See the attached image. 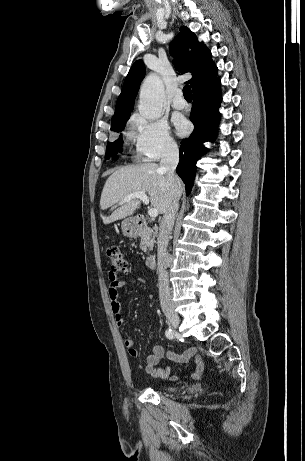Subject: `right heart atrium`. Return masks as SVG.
<instances>
[{"mask_svg":"<svg viewBox=\"0 0 305 461\" xmlns=\"http://www.w3.org/2000/svg\"><path fill=\"white\" fill-rule=\"evenodd\" d=\"M130 129V138L140 160L155 161L177 151V143L163 120H150L136 114L130 120Z\"/></svg>","mask_w":305,"mask_h":461,"instance_id":"obj_1","label":"right heart atrium"}]
</instances>
